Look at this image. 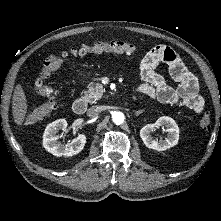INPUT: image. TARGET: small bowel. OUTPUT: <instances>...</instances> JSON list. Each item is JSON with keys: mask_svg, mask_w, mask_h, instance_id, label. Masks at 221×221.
Instances as JSON below:
<instances>
[{"mask_svg": "<svg viewBox=\"0 0 221 221\" xmlns=\"http://www.w3.org/2000/svg\"><path fill=\"white\" fill-rule=\"evenodd\" d=\"M160 63L168 66L171 77L178 83L176 88L169 86L164 77L156 72ZM140 71L146 83L137 89L139 94L147 95L161 103L186 107L195 113L203 111L204 100L198 93V78L187 69L170 47H153L142 59Z\"/></svg>", "mask_w": 221, "mask_h": 221, "instance_id": "c3829d8e", "label": "small bowel"}]
</instances>
